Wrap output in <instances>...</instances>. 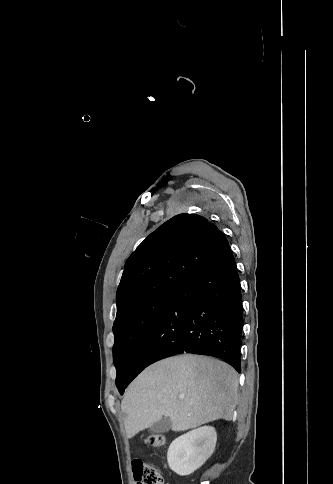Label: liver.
I'll return each mask as SVG.
<instances>
[{"instance_id": "6515ba94", "label": "liver", "mask_w": 333, "mask_h": 484, "mask_svg": "<svg viewBox=\"0 0 333 484\" xmlns=\"http://www.w3.org/2000/svg\"><path fill=\"white\" fill-rule=\"evenodd\" d=\"M238 377L230 365L205 356L184 354L161 360L140 373L121 403L127 438L163 416L173 431L234 417ZM184 396V398H179Z\"/></svg>"}]
</instances>
